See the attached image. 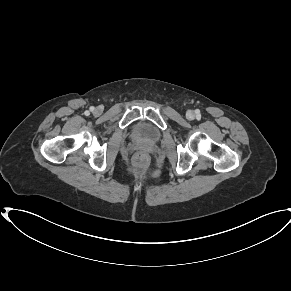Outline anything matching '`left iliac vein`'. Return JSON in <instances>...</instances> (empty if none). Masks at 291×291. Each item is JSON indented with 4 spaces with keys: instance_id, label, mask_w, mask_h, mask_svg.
Instances as JSON below:
<instances>
[{
    "instance_id": "left-iliac-vein-1",
    "label": "left iliac vein",
    "mask_w": 291,
    "mask_h": 291,
    "mask_svg": "<svg viewBox=\"0 0 291 291\" xmlns=\"http://www.w3.org/2000/svg\"><path fill=\"white\" fill-rule=\"evenodd\" d=\"M187 118L188 119H194L195 118V114H194V112L193 111H191V110H189L188 112H187Z\"/></svg>"
}]
</instances>
